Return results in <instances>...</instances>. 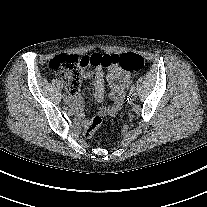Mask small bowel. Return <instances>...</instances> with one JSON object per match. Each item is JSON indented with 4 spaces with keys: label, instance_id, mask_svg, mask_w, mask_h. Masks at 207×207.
Wrapping results in <instances>:
<instances>
[{
    "label": "small bowel",
    "instance_id": "small-bowel-1",
    "mask_svg": "<svg viewBox=\"0 0 207 207\" xmlns=\"http://www.w3.org/2000/svg\"><path fill=\"white\" fill-rule=\"evenodd\" d=\"M82 75L85 79H92L94 97L97 101H102L105 95V74L103 68L97 67L94 70H86ZM106 78L110 87L109 96L112 100V104L99 108L98 116L100 117L116 115L122 106L125 98V91L132 83L131 74L118 67H110L107 70ZM69 100L73 111L76 113L82 125L84 127L88 126L92 120L82 113L83 101L79 93V88L75 89L73 92H70Z\"/></svg>",
    "mask_w": 207,
    "mask_h": 207
}]
</instances>
